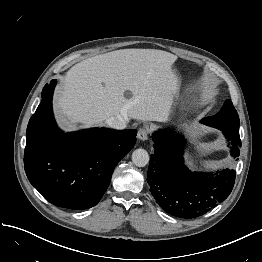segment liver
<instances>
[{
    "instance_id": "1",
    "label": "liver",
    "mask_w": 262,
    "mask_h": 262,
    "mask_svg": "<svg viewBox=\"0 0 262 262\" xmlns=\"http://www.w3.org/2000/svg\"><path fill=\"white\" fill-rule=\"evenodd\" d=\"M176 60L162 50L122 49L81 61L67 72L56 95L61 123L100 125L117 115L165 121L180 87L172 68Z\"/></svg>"
}]
</instances>
